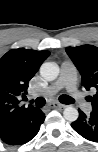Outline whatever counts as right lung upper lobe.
I'll return each mask as SVG.
<instances>
[{"label": "right lung upper lobe", "instance_id": "cb5924a9", "mask_svg": "<svg viewBox=\"0 0 98 152\" xmlns=\"http://www.w3.org/2000/svg\"><path fill=\"white\" fill-rule=\"evenodd\" d=\"M50 55L49 51L12 49L0 59V133L15 125L26 114L33 111L32 105L25 107L29 80Z\"/></svg>", "mask_w": 98, "mask_h": 152}]
</instances>
